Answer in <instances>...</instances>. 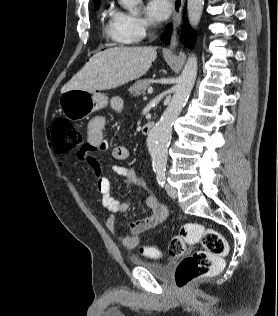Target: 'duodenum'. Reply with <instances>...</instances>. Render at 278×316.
<instances>
[{"label":"duodenum","instance_id":"1","mask_svg":"<svg viewBox=\"0 0 278 316\" xmlns=\"http://www.w3.org/2000/svg\"><path fill=\"white\" fill-rule=\"evenodd\" d=\"M155 126L154 121H148L142 126V133L148 135Z\"/></svg>","mask_w":278,"mask_h":316}]
</instances>
